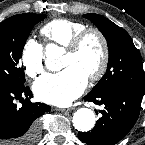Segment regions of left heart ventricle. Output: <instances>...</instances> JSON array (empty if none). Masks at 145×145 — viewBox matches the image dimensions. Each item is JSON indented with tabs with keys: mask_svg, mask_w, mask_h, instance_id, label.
<instances>
[{
	"mask_svg": "<svg viewBox=\"0 0 145 145\" xmlns=\"http://www.w3.org/2000/svg\"><path fill=\"white\" fill-rule=\"evenodd\" d=\"M101 55L100 41L96 36L91 35L85 39L77 52H65L61 67L76 66L88 77L98 69Z\"/></svg>",
	"mask_w": 145,
	"mask_h": 145,
	"instance_id": "1",
	"label": "left heart ventricle"
}]
</instances>
